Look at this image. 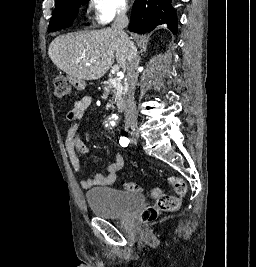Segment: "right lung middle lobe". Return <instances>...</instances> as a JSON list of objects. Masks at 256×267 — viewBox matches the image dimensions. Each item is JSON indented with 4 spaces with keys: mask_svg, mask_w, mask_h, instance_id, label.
<instances>
[{
    "mask_svg": "<svg viewBox=\"0 0 256 267\" xmlns=\"http://www.w3.org/2000/svg\"><path fill=\"white\" fill-rule=\"evenodd\" d=\"M88 0H60L56 2L53 16L50 19L48 29L57 31L59 29L69 27L77 15L81 4H85Z\"/></svg>",
    "mask_w": 256,
    "mask_h": 267,
    "instance_id": "obj_1",
    "label": "right lung middle lobe"
}]
</instances>
